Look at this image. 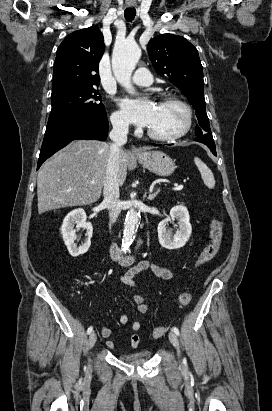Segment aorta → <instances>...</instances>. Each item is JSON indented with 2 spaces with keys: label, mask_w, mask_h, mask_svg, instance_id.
I'll return each instance as SVG.
<instances>
[{
  "label": "aorta",
  "mask_w": 272,
  "mask_h": 411,
  "mask_svg": "<svg viewBox=\"0 0 272 411\" xmlns=\"http://www.w3.org/2000/svg\"><path fill=\"white\" fill-rule=\"evenodd\" d=\"M141 56L139 46L133 41H126L123 44L115 46L112 55V69L117 81L130 93L134 92L130 79L133 70ZM140 214L133 208L128 210L124 223L123 239L121 251H128L132 244L137 227L139 224Z\"/></svg>",
  "instance_id": "1"
}]
</instances>
